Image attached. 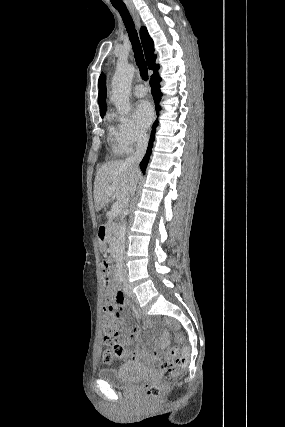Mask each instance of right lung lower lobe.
I'll list each match as a JSON object with an SVG mask.
<instances>
[{"instance_id": "1", "label": "right lung lower lobe", "mask_w": 285, "mask_h": 427, "mask_svg": "<svg viewBox=\"0 0 285 427\" xmlns=\"http://www.w3.org/2000/svg\"><path fill=\"white\" fill-rule=\"evenodd\" d=\"M161 81V78L158 76L155 77H151L150 79V85H151V91H152V95H153V99H154V103H155V109H156V113L157 115H159V110L161 109L159 106V100L161 97V92H160V86L159 83ZM158 121L156 120L153 124L152 127V132L150 135V140H149V144H148V149L147 152L145 154V157L143 158V160L140 163V168L142 170L143 173H145V169L147 167L148 161H149V157L151 155V149L153 146V141H154V136H155V129L157 127Z\"/></svg>"}]
</instances>
